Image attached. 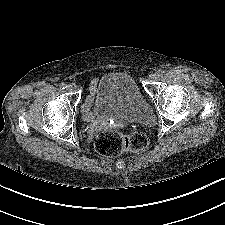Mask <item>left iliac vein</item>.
<instances>
[{"mask_svg":"<svg viewBox=\"0 0 225 225\" xmlns=\"http://www.w3.org/2000/svg\"><path fill=\"white\" fill-rule=\"evenodd\" d=\"M157 78H158L157 73H152V74L149 75V79L151 81H155Z\"/></svg>","mask_w":225,"mask_h":225,"instance_id":"obj_1","label":"left iliac vein"}]
</instances>
